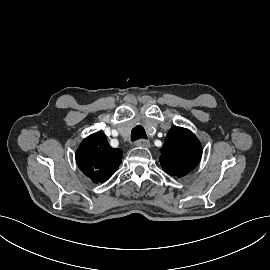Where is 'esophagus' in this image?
<instances>
[{
  "mask_svg": "<svg viewBox=\"0 0 270 270\" xmlns=\"http://www.w3.org/2000/svg\"><path fill=\"white\" fill-rule=\"evenodd\" d=\"M135 145L137 147H142V148H149L150 147V142L146 139H139L135 142Z\"/></svg>",
  "mask_w": 270,
  "mask_h": 270,
  "instance_id": "esophagus-1",
  "label": "esophagus"
}]
</instances>
